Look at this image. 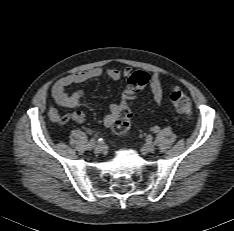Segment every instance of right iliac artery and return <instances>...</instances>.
I'll use <instances>...</instances> for the list:
<instances>
[{
	"label": "right iliac artery",
	"instance_id": "82829eb1",
	"mask_svg": "<svg viewBox=\"0 0 234 231\" xmlns=\"http://www.w3.org/2000/svg\"><path fill=\"white\" fill-rule=\"evenodd\" d=\"M95 143H96V139L92 138L88 144V147L93 148L95 146Z\"/></svg>",
	"mask_w": 234,
	"mask_h": 231
}]
</instances>
